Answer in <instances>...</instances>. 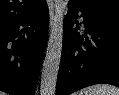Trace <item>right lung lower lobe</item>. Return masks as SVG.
Instances as JSON below:
<instances>
[{
    "label": "right lung lower lobe",
    "mask_w": 119,
    "mask_h": 95,
    "mask_svg": "<svg viewBox=\"0 0 119 95\" xmlns=\"http://www.w3.org/2000/svg\"><path fill=\"white\" fill-rule=\"evenodd\" d=\"M48 24L49 12L44 1L31 14L0 27V91L34 95Z\"/></svg>",
    "instance_id": "98d812e1"
}]
</instances>
